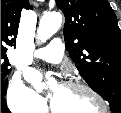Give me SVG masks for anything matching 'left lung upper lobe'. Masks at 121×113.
I'll return each mask as SVG.
<instances>
[{
  "label": "left lung upper lobe",
  "mask_w": 121,
  "mask_h": 113,
  "mask_svg": "<svg viewBox=\"0 0 121 113\" xmlns=\"http://www.w3.org/2000/svg\"><path fill=\"white\" fill-rule=\"evenodd\" d=\"M66 48L82 78L121 113V31L107 0H56Z\"/></svg>",
  "instance_id": "5c2ea615"
}]
</instances>
